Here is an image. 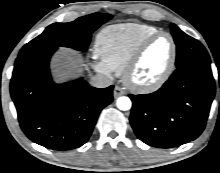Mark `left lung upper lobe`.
Listing matches in <instances>:
<instances>
[{
  "label": "left lung upper lobe",
  "instance_id": "obj_1",
  "mask_svg": "<svg viewBox=\"0 0 220 173\" xmlns=\"http://www.w3.org/2000/svg\"><path fill=\"white\" fill-rule=\"evenodd\" d=\"M171 32L177 45V69L202 62L210 63L206 49L198 40L185 34L175 24H171Z\"/></svg>",
  "mask_w": 220,
  "mask_h": 173
}]
</instances>
